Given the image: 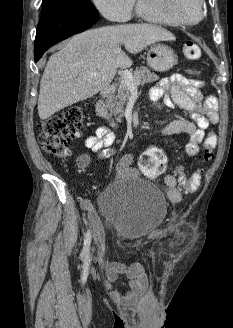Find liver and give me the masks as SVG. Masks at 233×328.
Masks as SVG:
<instances>
[{"mask_svg": "<svg viewBox=\"0 0 233 328\" xmlns=\"http://www.w3.org/2000/svg\"><path fill=\"white\" fill-rule=\"evenodd\" d=\"M168 30L150 24H122L74 35L49 58L40 82L38 114L45 120L108 86L118 68H128L132 54L157 41H173Z\"/></svg>", "mask_w": 233, "mask_h": 328, "instance_id": "obj_1", "label": "liver"}]
</instances>
